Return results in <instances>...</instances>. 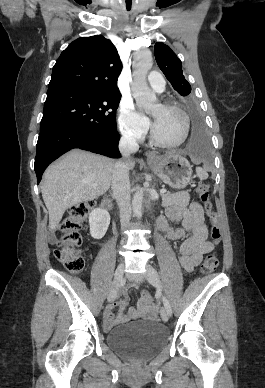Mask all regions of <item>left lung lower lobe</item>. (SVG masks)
<instances>
[{
    "mask_svg": "<svg viewBox=\"0 0 265 388\" xmlns=\"http://www.w3.org/2000/svg\"><path fill=\"white\" fill-rule=\"evenodd\" d=\"M191 135L187 144V151L195 157L209 158V140L200 114L191 110Z\"/></svg>",
    "mask_w": 265,
    "mask_h": 388,
    "instance_id": "left-lung-lower-lobe-1",
    "label": "left lung lower lobe"
}]
</instances>
